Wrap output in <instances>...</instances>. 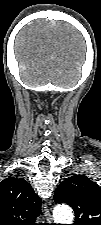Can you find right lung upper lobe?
<instances>
[{
	"label": "right lung upper lobe",
	"mask_w": 101,
	"mask_h": 225,
	"mask_svg": "<svg viewBox=\"0 0 101 225\" xmlns=\"http://www.w3.org/2000/svg\"><path fill=\"white\" fill-rule=\"evenodd\" d=\"M41 200L22 178L9 177L0 182V225H35Z\"/></svg>",
	"instance_id": "cb5924a9"
}]
</instances>
